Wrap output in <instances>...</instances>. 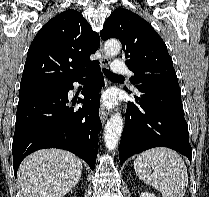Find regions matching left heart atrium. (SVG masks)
I'll list each match as a JSON object with an SVG mask.
<instances>
[{
  "label": "left heart atrium",
  "instance_id": "obj_1",
  "mask_svg": "<svg viewBox=\"0 0 209 197\" xmlns=\"http://www.w3.org/2000/svg\"><path fill=\"white\" fill-rule=\"evenodd\" d=\"M103 103L107 106H111L115 103V96L111 93H107L103 96Z\"/></svg>",
  "mask_w": 209,
  "mask_h": 197
}]
</instances>
